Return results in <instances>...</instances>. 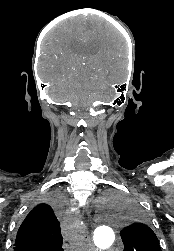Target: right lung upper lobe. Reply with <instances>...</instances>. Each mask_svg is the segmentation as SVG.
Wrapping results in <instances>:
<instances>
[{
    "label": "right lung upper lobe",
    "instance_id": "right-lung-upper-lobe-1",
    "mask_svg": "<svg viewBox=\"0 0 174 251\" xmlns=\"http://www.w3.org/2000/svg\"><path fill=\"white\" fill-rule=\"evenodd\" d=\"M60 231L59 209L47 203L35 206L20 225L15 249L21 246L30 251H63Z\"/></svg>",
    "mask_w": 174,
    "mask_h": 251
}]
</instances>
